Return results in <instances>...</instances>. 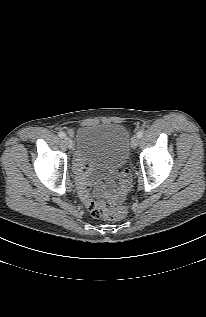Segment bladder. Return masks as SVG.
Returning a JSON list of instances; mask_svg holds the SVG:
<instances>
[{"label": "bladder", "instance_id": "bladder-1", "mask_svg": "<svg viewBox=\"0 0 206 317\" xmlns=\"http://www.w3.org/2000/svg\"><path fill=\"white\" fill-rule=\"evenodd\" d=\"M129 145L130 133L122 124H85L76 133L78 152L95 164L98 174L124 166Z\"/></svg>", "mask_w": 206, "mask_h": 317}]
</instances>
